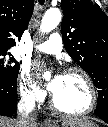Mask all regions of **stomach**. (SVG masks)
<instances>
[{
	"label": "stomach",
	"instance_id": "0dacf381",
	"mask_svg": "<svg viewBox=\"0 0 108 127\" xmlns=\"http://www.w3.org/2000/svg\"><path fill=\"white\" fill-rule=\"evenodd\" d=\"M47 127H60V126L56 123H53V124L48 125ZM61 127H98V125L94 124V125L81 126L78 124H66V125L62 124Z\"/></svg>",
	"mask_w": 108,
	"mask_h": 127
}]
</instances>
